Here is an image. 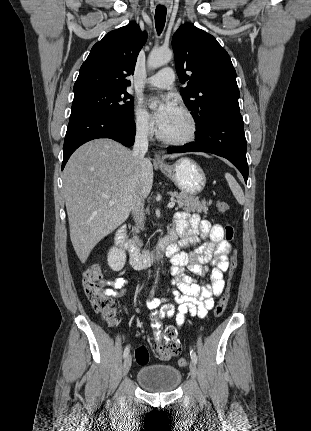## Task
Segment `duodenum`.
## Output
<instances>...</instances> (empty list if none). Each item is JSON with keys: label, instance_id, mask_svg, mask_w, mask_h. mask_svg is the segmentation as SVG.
<instances>
[{"label": "duodenum", "instance_id": "obj_1", "mask_svg": "<svg viewBox=\"0 0 311 431\" xmlns=\"http://www.w3.org/2000/svg\"><path fill=\"white\" fill-rule=\"evenodd\" d=\"M177 235L171 230L161 241L157 248L152 251L143 250L137 244L126 239L125 227H120L115 234L116 244L125 250L133 265L137 267L146 266L154 261H161L173 254Z\"/></svg>", "mask_w": 311, "mask_h": 431}]
</instances>
